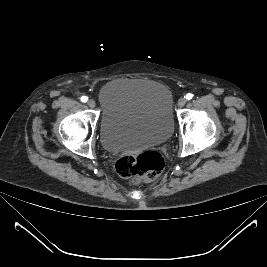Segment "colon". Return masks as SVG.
Masks as SVG:
<instances>
[{
  "label": "colon",
  "mask_w": 267,
  "mask_h": 267,
  "mask_svg": "<svg viewBox=\"0 0 267 267\" xmlns=\"http://www.w3.org/2000/svg\"><path fill=\"white\" fill-rule=\"evenodd\" d=\"M165 165L164 157L155 151H146L138 155H125L115 163L116 173L133 183L155 180Z\"/></svg>",
  "instance_id": "obj_1"
}]
</instances>
